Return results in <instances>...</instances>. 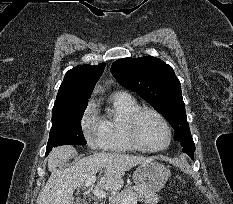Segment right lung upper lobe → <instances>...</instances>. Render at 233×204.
Returning <instances> with one entry per match:
<instances>
[{
    "mask_svg": "<svg viewBox=\"0 0 233 204\" xmlns=\"http://www.w3.org/2000/svg\"><path fill=\"white\" fill-rule=\"evenodd\" d=\"M104 67V63L94 66L85 64L69 70L59 88L54 106L88 104Z\"/></svg>",
    "mask_w": 233,
    "mask_h": 204,
    "instance_id": "1",
    "label": "right lung upper lobe"
}]
</instances>
